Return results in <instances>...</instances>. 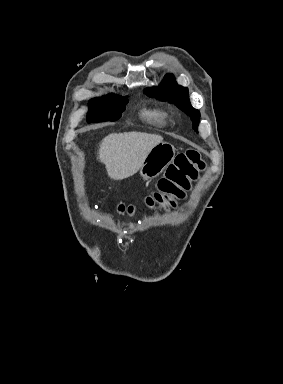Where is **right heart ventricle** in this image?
<instances>
[{
	"mask_svg": "<svg viewBox=\"0 0 283 384\" xmlns=\"http://www.w3.org/2000/svg\"><path fill=\"white\" fill-rule=\"evenodd\" d=\"M142 115L148 122L158 127L166 126L170 117L169 111L161 104L144 106Z\"/></svg>",
	"mask_w": 283,
	"mask_h": 384,
	"instance_id": "1",
	"label": "right heart ventricle"
}]
</instances>
